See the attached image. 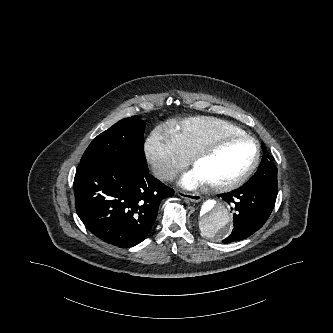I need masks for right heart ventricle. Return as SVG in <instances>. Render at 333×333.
<instances>
[{"mask_svg": "<svg viewBox=\"0 0 333 333\" xmlns=\"http://www.w3.org/2000/svg\"><path fill=\"white\" fill-rule=\"evenodd\" d=\"M169 132L180 150L190 158L203 144L223 133H245L241 128L210 116H193L171 122Z\"/></svg>", "mask_w": 333, "mask_h": 333, "instance_id": "obj_1", "label": "right heart ventricle"}]
</instances>
